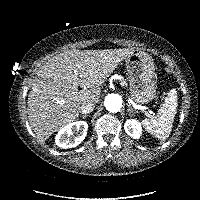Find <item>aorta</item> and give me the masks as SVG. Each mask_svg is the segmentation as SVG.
Listing matches in <instances>:
<instances>
[{"mask_svg":"<svg viewBox=\"0 0 200 200\" xmlns=\"http://www.w3.org/2000/svg\"><path fill=\"white\" fill-rule=\"evenodd\" d=\"M104 105L109 112L116 113L121 109L122 99L118 94H108L105 97Z\"/></svg>","mask_w":200,"mask_h":200,"instance_id":"762f6f07","label":"aorta"}]
</instances>
